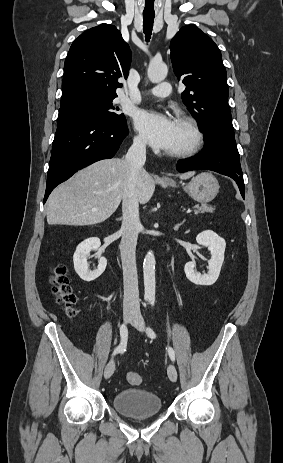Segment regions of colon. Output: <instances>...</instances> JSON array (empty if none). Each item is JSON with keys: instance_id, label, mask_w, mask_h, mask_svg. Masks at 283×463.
Masks as SVG:
<instances>
[{"instance_id": "obj_1", "label": "colon", "mask_w": 283, "mask_h": 463, "mask_svg": "<svg viewBox=\"0 0 283 463\" xmlns=\"http://www.w3.org/2000/svg\"><path fill=\"white\" fill-rule=\"evenodd\" d=\"M50 283L52 285V290L56 295L57 302L62 305L67 316L72 317L75 314L74 305L77 298L70 285L67 268L64 265H56L53 267ZM126 379L131 385H139L142 383L141 375L134 371L128 372Z\"/></svg>"}]
</instances>
